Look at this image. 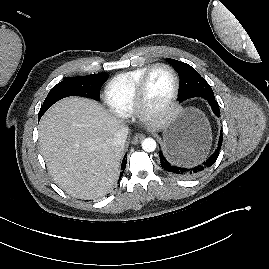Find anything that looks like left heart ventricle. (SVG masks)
<instances>
[{
  "label": "left heart ventricle",
  "mask_w": 269,
  "mask_h": 269,
  "mask_svg": "<svg viewBox=\"0 0 269 269\" xmlns=\"http://www.w3.org/2000/svg\"><path fill=\"white\" fill-rule=\"evenodd\" d=\"M173 88V77L165 68H156L149 76L146 100L150 107L157 108L165 103Z\"/></svg>",
  "instance_id": "obj_1"
}]
</instances>
